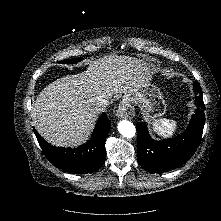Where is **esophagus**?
<instances>
[{
	"mask_svg": "<svg viewBox=\"0 0 221 221\" xmlns=\"http://www.w3.org/2000/svg\"><path fill=\"white\" fill-rule=\"evenodd\" d=\"M135 115L133 106L129 103L127 99H123L119 104L116 116L120 119H130Z\"/></svg>",
	"mask_w": 221,
	"mask_h": 221,
	"instance_id": "esophagus-1",
	"label": "esophagus"
}]
</instances>
